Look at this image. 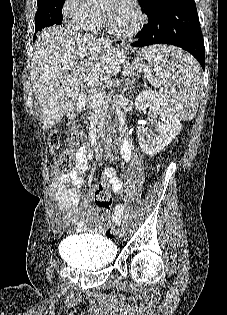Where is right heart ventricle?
Returning a JSON list of instances; mask_svg holds the SVG:
<instances>
[{"label": "right heart ventricle", "mask_w": 227, "mask_h": 315, "mask_svg": "<svg viewBox=\"0 0 227 315\" xmlns=\"http://www.w3.org/2000/svg\"><path fill=\"white\" fill-rule=\"evenodd\" d=\"M101 28H102V22L101 21H97L91 27H89L87 30L95 33V32L100 31Z\"/></svg>", "instance_id": "1"}]
</instances>
